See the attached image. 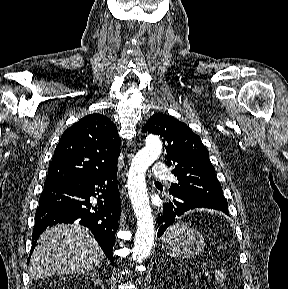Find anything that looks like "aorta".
<instances>
[{
	"label": "aorta",
	"instance_id": "1",
	"mask_svg": "<svg viewBox=\"0 0 288 289\" xmlns=\"http://www.w3.org/2000/svg\"><path fill=\"white\" fill-rule=\"evenodd\" d=\"M161 150L162 143L159 138H148L145 147L139 150L133 158L128 173L127 188L137 220V230L132 248V258L135 262L145 260L154 243L155 225L147 193L145 174L161 154Z\"/></svg>",
	"mask_w": 288,
	"mask_h": 289
}]
</instances>
